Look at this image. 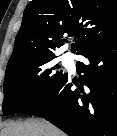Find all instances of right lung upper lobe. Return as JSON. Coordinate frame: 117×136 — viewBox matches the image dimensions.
Returning a JSON list of instances; mask_svg holds the SVG:
<instances>
[{
  "mask_svg": "<svg viewBox=\"0 0 117 136\" xmlns=\"http://www.w3.org/2000/svg\"><path fill=\"white\" fill-rule=\"evenodd\" d=\"M117 31V0H32L25 8L8 64L31 56H54L75 35L77 54Z\"/></svg>",
  "mask_w": 117,
  "mask_h": 136,
  "instance_id": "cb5924a9",
  "label": "right lung upper lobe"
}]
</instances>
